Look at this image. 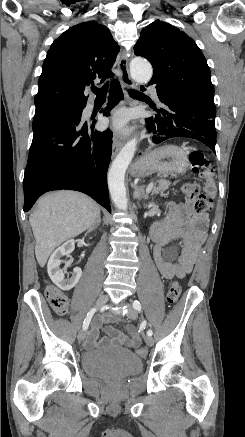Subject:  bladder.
<instances>
[{
  "mask_svg": "<svg viewBox=\"0 0 245 437\" xmlns=\"http://www.w3.org/2000/svg\"><path fill=\"white\" fill-rule=\"evenodd\" d=\"M81 364L86 374L101 379L126 378L142 369L141 359L125 349H97L85 352Z\"/></svg>",
  "mask_w": 245,
  "mask_h": 437,
  "instance_id": "1",
  "label": "bladder"
}]
</instances>
